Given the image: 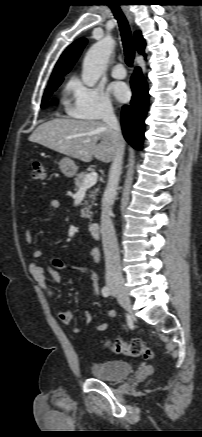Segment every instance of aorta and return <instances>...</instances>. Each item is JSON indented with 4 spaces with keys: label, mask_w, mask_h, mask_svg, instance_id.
<instances>
[{
    "label": "aorta",
    "mask_w": 202,
    "mask_h": 437,
    "mask_svg": "<svg viewBox=\"0 0 202 437\" xmlns=\"http://www.w3.org/2000/svg\"><path fill=\"white\" fill-rule=\"evenodd\" d=\"M114 46V40L111 37H105L88 50L82 69V81L86 86L93 87L96 85L107 68Z\"/></svg>",
    "instance_id": "1"
}]
</instances>
